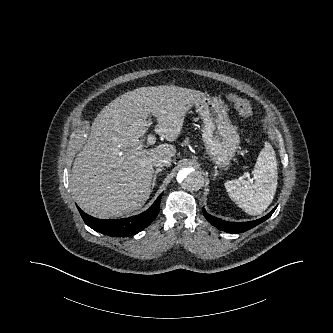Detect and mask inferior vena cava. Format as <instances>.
<instances>
[{
    "instance_id": "1",
    "label": "inferior vena cava",
    "mask_w": 333,
    "mask_h": 333,
    "mask_svg": "<svg viewBox=\"0 0 333 333\" xmlns=\"http://www.w3.org/2000/svg\"><path fill=\"white\" fill-rule=\"evenodd\" d=\"M171 158L168 156L165 157H155L153 159V165L155 167L169 166L171 164Z\"/></svg>"
}]
</instances>
